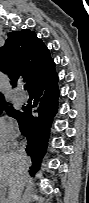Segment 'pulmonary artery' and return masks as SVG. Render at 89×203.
Listing matches in <instances>:
<instances>
[{
    "mask_svg": "<svg viewBox=\"0 0 89 203\" xmlns=\"http://www.w3.org/2000/svg\"><path fill=\"white\" fill-rule=\"evenodd\" d=\"M18 99L21 101V102H26L28 100V95L24 92H20L19 95H18Z\"/></svg>",
    "mask_w": 89,
    "mask_h": 203,
    "instance_id": "pulmonary-artery-1",
    "label": "pulmonary artery"
}]
</instances>
